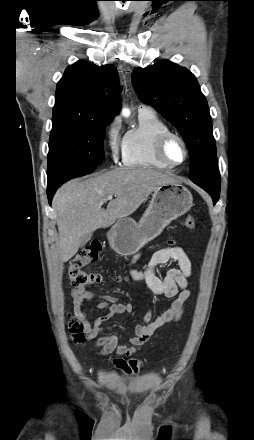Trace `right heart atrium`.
Wrapping results in <instances>:
<instances>
[{
  "label": "right heart atrium",
  "mask_w": 254,
  "mask_h": 440,
  "mask_svg": "<svg viewBox=\"0 0 254 440\" xmlns=\"http://www.w3.org/2000/svg\"><path fill=\"white\" fill-rule=\"evenodd\" d=\"M106 143L113 162H118L122 155L124 136L121 133V122L113 118L106 128Z\"/></svg>",
  "instance_id": "obj_1"
}]
</instances>
